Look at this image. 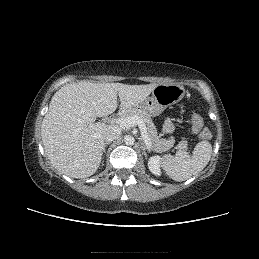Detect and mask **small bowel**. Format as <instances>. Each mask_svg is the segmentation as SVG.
<instances>
[{
	"instance_id": "c3829d8e",
	"label": "small bowel",
	"mask_w": 259,
	"mask_h": 259,
	"mask_svg": "<svg viewBox=\"0 0 259 259\" xmlns=\"http://www.w3.org/2000/svg\"><path fill=\"white\" fill-rule=\"evenodd\" d=\"M163 130L166 133H169L172 131V123L169 120H166L163 125Z\"/></svg>"
}]
</instances>
